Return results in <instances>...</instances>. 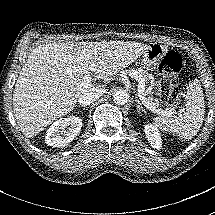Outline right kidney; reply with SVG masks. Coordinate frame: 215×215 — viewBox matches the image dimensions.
<instances>
[{
    "label": "right kidney",
    "mask_w": 215,
    "mask_h": 215,
    "mask_svg": "<svg viewBox=\"0 0 215 215\" xmlns=\"http://www.w3.org/2000/svg\"><path fill=\"white\" fill-rule=\"evenodd\" d=\"M82 121L83 119L79 116L58 119L46 133V144L52 147H64L71 143L81 129Z\"/></svg>",
    "instance_id": "ca27d5eb"
}]
</instances>
